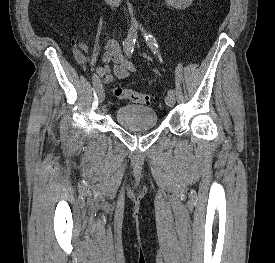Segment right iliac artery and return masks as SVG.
<instances>
[{
  "label": "right iliac artery",
  "instance_id": "1",
  "mask_svg": "<svg viewBox=\"0 0 275 263\" xmlns=\"http://www.w3.org/2000/svg\"><path fill=\"white\" fill-rule=\"evenodd\" d=\"M137 31L134 28H131L127 38L123 41L124 51L127 55H131L133 52L134 44L136 41ZM93 86L95 89H98L101 86L100 78L97 75H93Z\"/></svg>",
  "mask_w": 275,
  "mask_h": 263
}]
</instances>
